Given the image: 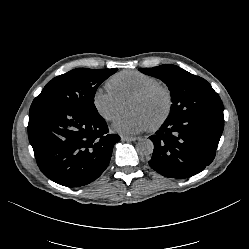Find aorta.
Masks as SVG:
<instances>
[{
    "label": "aorta",
    "mask_w": 249,
    "mask_h": 249,
    "mask_svg": "<svg viewBox=\"0 0 249 249\" xmlns=\"http://www.w3.org/2000/svg\"><path fill=\"white\" fill-rule=\"evenodd\" d=\"M154 144L150 139L143 138L137 143V151L141 155H150L153 153Z\"/></svg>",
    "instance_id": "1"
}]
</instances>
